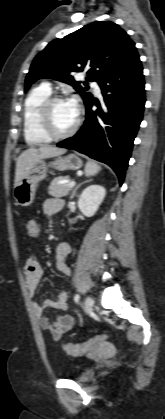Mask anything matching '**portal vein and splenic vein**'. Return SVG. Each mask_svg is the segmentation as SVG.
I'll return each mask as SVG.
<instances>
[{"label": "portal vein and splenic vein", "instance_id": "portal-vein-and-splenic-vein-1", "mask_svg": "<svg viewBox=\"0 0 165 419\" xmlns=\"http://www.w3.org/2000/svg\"><path fill=\"white\" fill-rule=\"evenodd\" d=\"M75 185H76L75 181H71V182H69V183H68V187H69V188H72V187H74Z\"/></svg>", "mask_w": 165, "mask_h": 419}]
</instances>
